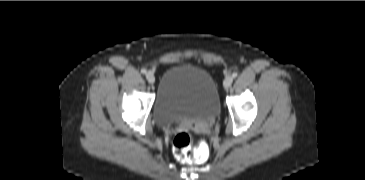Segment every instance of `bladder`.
I'll use <instances>...</instances> for the list:
<instances>
[{"mask_svg":"<svg viewBox=\"0 0 365 180\" xmlns=\"http://www.w3.org/2000/svg\"><path fill=\"white\" fill-rule=\"evenodd\" d=\"M220 110L217 83L206 69L187 63L168 67L160 77L153 116L161 126L209 121Z\"/></svg>","mask_w":365,"mask_h":180,"instance_id":"1","label":"bladder"}]
</instances>
